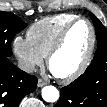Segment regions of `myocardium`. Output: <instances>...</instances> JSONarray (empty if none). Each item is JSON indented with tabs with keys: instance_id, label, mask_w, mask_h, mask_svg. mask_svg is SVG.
Returning <instances> with one entry per match:
<instances>
[{
	"instance_id": "f54148a6",
	"label": "myocardium",
	"mask_w": 107,
	"mask_h": 107,
	"mask_svg": "<svg viewBox=\"0 0 107 107\" xmlns=\"http://www.w3.org/2000/svg\"><path fill=\"white\" fill-rule=\"evenodd\" d=\"M79 22H85L89 26L90 34H91L89 49H88V52H87V55H86L84 61L82 62V64L80 65V67L76 71H74L73 73L66 75V76H57L56 75V77L62 83H70V82L75 81L79 77H81L86 72L88 67L90 66L91 61H92L93 56H94L95 47H96V31H95V28H94L93 24L91 23V21L88 20L87 18L78 17V18L72 20L71 22H69L62 29L61 33L59 34L58 38L56 39L55 43L50 48V50L46 56L47 64L50 67V63H51L52 58L59 52V50L64 45V42H65L70 30Z\"/></svg>"
}]
</instances>
